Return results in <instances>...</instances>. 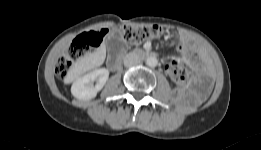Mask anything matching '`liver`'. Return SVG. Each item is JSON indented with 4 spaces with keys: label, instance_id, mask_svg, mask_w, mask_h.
Listing matches in <instances>:
<instances>
[{
    "label": "liver",
    "instance_id": "liver-1",
    "mask_svg": "<svg viewBox=\"0 0 261 150\" xmlns=\"http://www.w3.org/2000/svg\"><path fill=\"white\" fill-rule=\"evenodd\" d=\"M106 56V47L103 44L96 52L83 58L78 64V73H84L103 64Z\"/></svg>",
    "mask_w": 261,
    "mask_h": 150
}]
</instances>
